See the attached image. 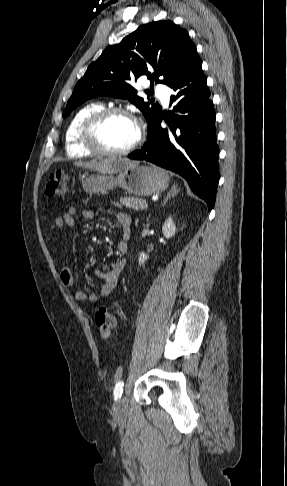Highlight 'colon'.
I'll list each match as a JSON object with an SVG mask.
<instances>
[{"instance_id": "colon-1", "label": "colon", "mask_w": 287, "mask_h": 486, "mask_svg": "<svg viewBox=\"0 0 287 486\" xmlns=\"http://www.w3.org/2000/svg\"><path fill=\"white\" fill-rule=\"evenodd\" d=\"M67 190V175L60 170L54 171L49 175L44 188L47 197L61 196ZM95 322L102 340H108L116 327V317L114 312L107 307H99L95 314Z\"/></svg>"}]
</instances>
